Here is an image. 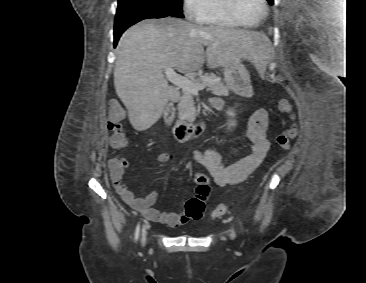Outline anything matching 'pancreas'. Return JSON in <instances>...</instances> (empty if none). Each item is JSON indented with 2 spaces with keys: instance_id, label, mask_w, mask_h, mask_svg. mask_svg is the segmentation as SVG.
I'll use <instances>...</instances> for the list:
<instances>
[{
  "instance_id": "obj_1",
  "label": "pancreas",
  "mask_w": 366,
  "mask_h": 283,
  "mask_svg": "<svg viewBox=\"0 0 366 283\" xmlns=\"http://www.w3.org/2000/svg\"><path fill=\"white\" fill-rule=\"evenodd\" d=\"M191 79L197 83L207 86V91H211L216 96H228L229 88L217 77L205 74L202 77H196L195 74L190 75ZM179 115L187 121H193L195 117V103L191 93L183 92L178 104Z\"/></svg>"
}]
</instances>
